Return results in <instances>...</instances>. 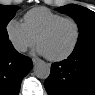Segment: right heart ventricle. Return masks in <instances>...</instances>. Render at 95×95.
<instances>
[{
  "label": "right heart ventricle",
  "instance_id": "obj_1",
  "mask_svg": "<svg viewBox=\"0 0 95 95\" xmlns=\"http://www.w3.org/2000/svg\"><path fill=\"white\" fill-rule=\"evenodd\" d=\"M63 18L61 14L55 13L44 7L29 10L24 15V25L28 32L37 39V36L51 23Z\"/></svg>",
  "mask_w": 95,
  "mask_h": 95
}]
</instances>
